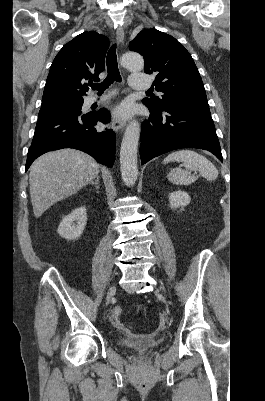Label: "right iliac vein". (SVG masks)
<instances>
[{"label": "right iliac vein", "mask_w": 265, "mask_h": 401, "mask_svg": "<svg viewBox=\"0 0 265 401\" xmlns=\"http://www.w3.org/2000/svg\"><path fill=\"white\" fill-rule=\"evenodd\" d=\"M116 292V285L112 284L106 297V303H109L110 300L112 299L113 294Z\"/></svg>", "instance_id": "right-iliac-vein-1"}]
</instances>
